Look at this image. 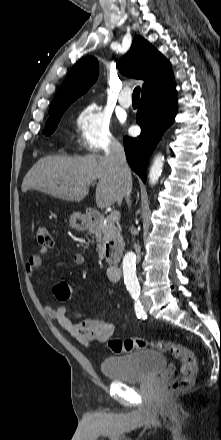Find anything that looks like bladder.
<instances>
[{
  "mask_svg": "<svg viewBox=\"0 0 221 440\" xmlns=\"http://www.w3.org/2000/svg\"><path fill=\"white\" fill-rule=\"evenodd\" d=\"M166 365V357L160 351L141 349L104 359L100 368L108 380L139 383L158 375Z\"/></svg>",
  "mask_w": 221,
  "mask_h": 440,
  "instance_id": "31cf9c89",
  "label": "bladder"
}]
</instances>
